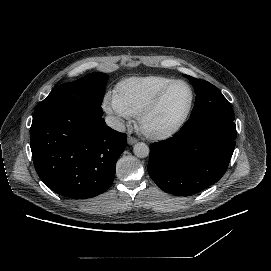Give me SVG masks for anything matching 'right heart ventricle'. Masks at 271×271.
Masks as SVG:
<instances>
[{
  "label": "right heart ventricle",
  "mask_w": 271,
  "mask_h": 271,
  "mask_svg": "<svg viewBox=\"0 0 271 271\" xmlns=\"http://www.w3.org/2000/svg\"><path fill=\"white\" fill-rule=\"evenodd\" d=\"M173 80L175 79L164 75L128 78L117 85V97L128 115L137 117Z\"/></svg>",
  "instance_id": "right-heart-ventricle-1"
}]
</instances>
